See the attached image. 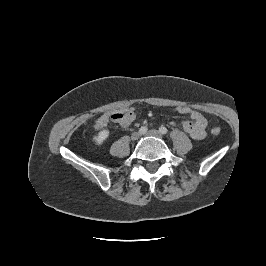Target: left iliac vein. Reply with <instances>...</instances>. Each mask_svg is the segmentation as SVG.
Listing matches in <instances>:
<instances>
[{
  "mask_svg": "<svg viewBox=\"0 0 266 266\" xmlns=\"http://www.w3.org/2000/svg\"><path fill=\"white\" fill-rule=\"evenodd\" d=\"M145 135L146 136H154V137H157L160 139L163 138V135L158 130H150Z\"/></svg>",
  "mask_w": 266,
  "mask_h": 266,
  "instance_id": "left-iliac-vein-1",
  "label": "left iliac vein"
}]
</instances>
